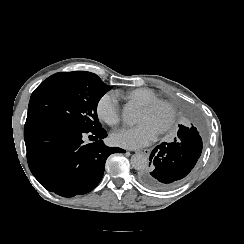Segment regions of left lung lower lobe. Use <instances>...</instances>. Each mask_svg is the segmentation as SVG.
<instances>
[{"label":"left lung lower lobe","mask_w":244,"mask_h":244,"mask_svg":"<svg viewBox=\"0 0 244 244\" xmlns=\"http://www.w3.org/2000/svg\"><path fill=\"white\" fill-rule=\"evenodd\" d=\"M200 124L196 118L180 125L178 138L163 142L150 155V168L139 173L140 182L148 188L167 191L178 187L197 163L202 152Z\"/></svg>","instance_id":"1"}]
</instances>
